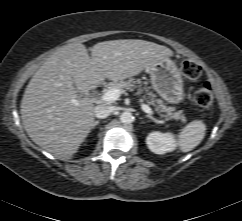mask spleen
I'll list each match as a JSON object with an SVG mask.
<instances>
[{"instance_id": "obj_1", "label": "spleen", "mask_w": 242, "mask_h": 221, "mask_svg": "<svg viewBox=\"0 0 242 221\" xmlns=\"http://www.w3.org/2000/svg\"><path fill=\"white\" fill-rule=\"evenodd\" d=\"M206 125L201 120L187 124L180 132L178 145L182 152H188L198 146L203 140Z\"/></svg>"}]
</instances>
